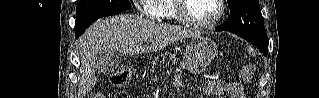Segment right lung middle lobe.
Masks as SVG:
<instances>
[{
    "label": "right lung middle lobe",
    "instance_id": "obj_1",
    "mask_svg": "<svg viewBox=\"0 0 319 98\" xmlns=\"http://www.w3.org/2000/svg\"><path fill=\"white\" fill-rule=\"evenodd\" d=\"M130 8L129 0H78L76 19L104 12H122Z\"/></svg>",
    "mask_w": 319,
    "mask_h": 98
}]
</instances>
